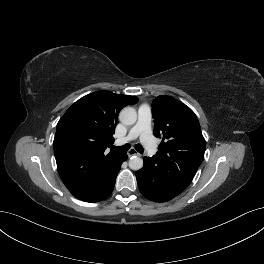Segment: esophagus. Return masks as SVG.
Wrapping results in <instances>:
<instances>
[{
    "mask_svg": "<svg viewBox=\"0 0 264 264\" xmlns=\"http://www.w3.org/2000/svg\"><path fill=\"white\" fill-rule=\"evenodd\" d=\"M127 155H128L129 157H131V156H139L140 154H139L135 149L131 148V149L127 152Z\"/></svg>",
    "mask_w": 264,
    "mask_h": 264,
    "instance_id": "esophagus-1",
    "label": "esophagus"
}]
</instances>
